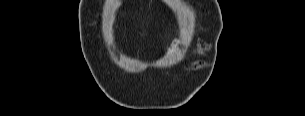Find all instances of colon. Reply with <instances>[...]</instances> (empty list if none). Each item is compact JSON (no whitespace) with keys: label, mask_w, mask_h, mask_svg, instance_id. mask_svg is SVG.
Returning <instances> with one entry per match:
<instances>
[{"label":"colon","mask_w":305,"mask_h":116,"mask_svg":"<svg viewBox=\"0 0 305 116\" xmlns=\"http://www.w3.org/2000/svg\"><path fill=\"white\" fill-rule=\"evenodd\" d=\"M174 47H176V44H175V43L173 44V46L171 47V49L174 48Z\"/></svg>","instance_id":"obj_1"}]
</instances>
